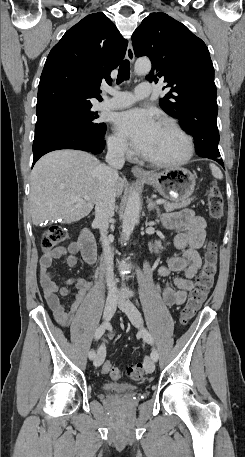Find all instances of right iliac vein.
Returning a JSON list of instances; mask_svg holds the SVG:
<instances>
[{
	"mask_svg": "<svg viewBox=\"0 0 245 457\" xmlns=\"http://www.w3.org/2000/svg\"><path fill=\"white\" fill-rule=\"evenodd\" d=\"M117 301H118L117 297H110L106 300L105 308H104V319L106 321H109L112 318V316L116 310ZM104 359H105V347L101 346L97 351V356L94 360V366H96V367L100 366L103 363Z\"/></svg>",
	"mask_w": 245,
	"mask_h": 457,
	"instance_id": "right-iliac-vein-1",
	"label": "right iliac vein"
}]
</instances>
